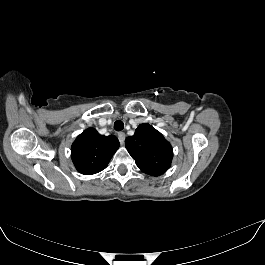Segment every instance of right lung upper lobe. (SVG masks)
<instances>
[{
    "label": "right lung upper lobe",
    "instance_id": "right-lung-upper-lobe-1",
    "mask_svg": "<svg viewBox=\"0 0 265 265\" xmlns=\"http://www.w3.org/2000/svg\"><path fill=\"white\" fill-rule=\"evenodd\" d=\"M119 145L116 136H104L96 129L88 128L73 142L71 158L78 172L84 175L95 174L107 167Z\"/></svg>",
    "mask_w": 265,
    "mask_h": 265
}]
</instances>
